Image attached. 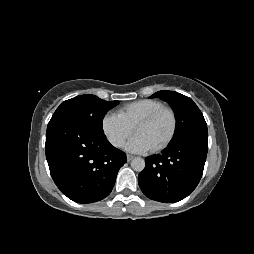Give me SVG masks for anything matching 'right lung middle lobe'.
Masks as SVG:
<instances>
[{
  "instance_id": "dd1d6c3e",
  "label": "right lung middle lobe",
  "mask_w": 254,
  "mask_h": 254,
  "mask_svg": "<svg viewBox=\"0 0 254 254\" xmlns=\"http://www.w3.org/2000/svg\"><path fill=\"white\" fill-rule=\"evenodd\" d=\"M118 103L119 101H105L90 94L80 95L61 103L50 122L66 119L103 132L105 114Z\"/></svg>"
}]
</instances>
